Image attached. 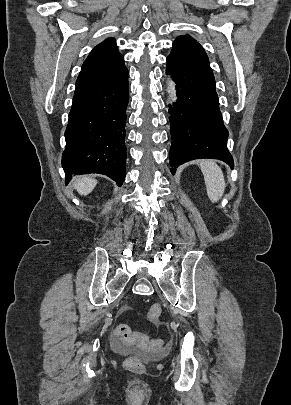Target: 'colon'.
I'll list each match as a JSON object with an SVG mask.
<instances>
[{"label":"colon","mask_w":291,"mask_h":405,"mask_svg":"<svg viewBox=\"0 0 291 405\" xmlns=\"http://www.w3.org/2000/svg\"><path fill=\"white\" fill-rule=\"evenodd\" d=\"M162 308L159 304L151 306L148 312V319L155 322L159 319ZM113 338L127 345H137L143 350L156 349L161 346V341L150 339L146 335L133 332L126 324H118L113 331ZM143 359L139 356H130L126 359V365L130 368H138L143 365Z\"/></svg>","instance_id":"1"}]
</instances>
